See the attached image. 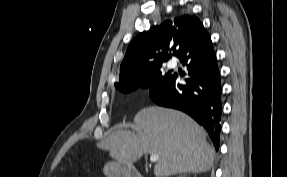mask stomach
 Listing matches in <instances>:
<instances>
[{
	"mask_svg": "<svg viewBox=\"0 0 287 177\" xmlns=\"http://www.w3.org/2000/svg\"><path fill=\"white\" fill-rule=\"evenodd\" d=\"M103 171L107 177H131L136 172L133 166L120 162H108Z\"/></svg>",
	"mask_w": 287,
	"mask_h": 177,
	"instance_id": "obj_1",
	"label": "stomach"
}]
</instances>
